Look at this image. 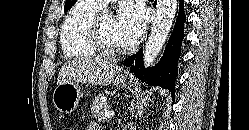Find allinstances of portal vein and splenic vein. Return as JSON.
<instances>
[{
	"instance_id": "portal-vein-and-splenic-vein-1",
	"label": "portal vein and splenic vein",
	"mask_w": 249,
	"mask_h": 130,
	"mask_svg": "<svg viewBox=\"0 0 249 130\" xmlns=\"http://www.w3.org/2000/svg\"><path fill=\"white\" fill-rule=\"evenodd\" d=\"M114 111L113 110H108L104 113L105 118H112L114 116Z\"/></svg>"
}]
</instances>
